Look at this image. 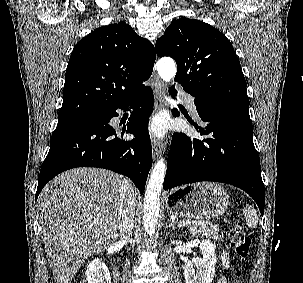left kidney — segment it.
Listing matches in <instances>:
<instances>
[{
  "mask_svg": "<svg viewBox=\"0 0 303 283\" xmlns=\"http://www.w3.org/2000/svg\"><path fill=\"white\" fill-rule=\"evenodd\" d=\"M203 258H193L185 267L186 283H212L217 262L215 244L209 239L203 240L199 246Z\"/></svg>",
  "mask_w": 303,
  "mask_h": 283,
  "instance_id": "1",
  "label": "left kidney"
}]
</instances>
